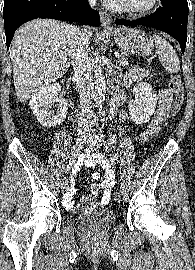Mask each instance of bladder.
Segmentation results:
<instances>
[{
	"instance_id": "1",
	"label": "bladder",
	"mask_w": 195,
	"mask_h": 270,
	"mask_svg": "<svg viewBox=\"0 0 195 270\" xmlns=\"http://www.w3.org/2000/svg\"><path fill=\"white\" fill-rule=\"evenodd\" d=\"M78 223L86 224L90 221H97L102 226H109L117 220L116 211L101 207H88L75 215Z\"/></svg>"
}]
</instances>
